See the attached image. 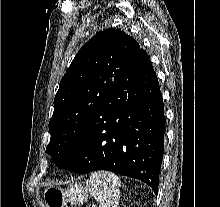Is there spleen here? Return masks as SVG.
<instances>
[{"label": "spleen", "mask_w": 220, "mask_h": 207, "mask_svg": "<svg viewBox=\"0 0 220 207\" xmlns=\"http://www.w3.org/2000/svg\"><path fill=\"white\" fill-rule=\"evenodd\" d=\"M88 191L99 207H118L120 204V180L107 171H97L87 180Z\"/></svg>", "instance_id": "spleen-1"}]
</instances>
